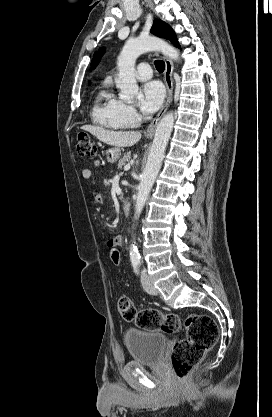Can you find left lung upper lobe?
<instances>
[{"mask_svg":"<svg viewBox=\"0 0 272 417\" xmlns=\"http://www.w3.org/2000/svg\"><path fill=\"white\" fill-rule=\"evenodd\" d=\"M151 33L170 40L175 46L179 47L176 35L173 29L161 20H155L154 24L151 28ZM105 52L104 48H100L98 52H96L93 56V60L91 62V67L95 68L97 63L100 61L102 54Z\"/></svg>","mask_w":272,"mask_h":417,"instance_id":"5c2ea615","label":"left lung upper lobe"}]
</instances>
